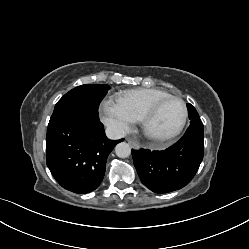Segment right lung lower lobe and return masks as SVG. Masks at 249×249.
<instances>
[{"label": "right lung lower lobe", "mask_w": 249, "mask_h": 249, "mask_svg": "<svg viewBox=\"0 0 249 249\" xmlns=\"http://www.w3.org/2000/svg\"><path fill=\"white\" fill-rule=\"evenodd\" d=\"M123 140H109L98 115L71 117L48 128L47 166L63 188L91 192L104 177L108 155Z\"/></svg>", "instance_id": "right-lung-lower-lobe-1"}]
</instances>
